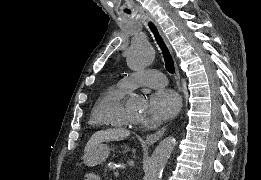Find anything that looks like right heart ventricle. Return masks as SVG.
<instances>
[{"instance_id": "right-heart-ventricle-1", "label": "right heart ventricle", "mask_w": 261, "mask_h": 180, "mask_svg": "<svg viewBox=\"0 0 261 180\" xmlns=\"http://www.w3.org/2000/svg\"><path fill=\"white\" fill-rule=\"evenodd\" d=\"M124 91L118 84L105 90L96 100L89 121H94V126H90L92 131H102V127H118L116 115L123 109ZM119 131L121 129L119 128ZM115 137V136H114ZM91 139H111V138H91Z\"/></svg>"}]
</instances>
